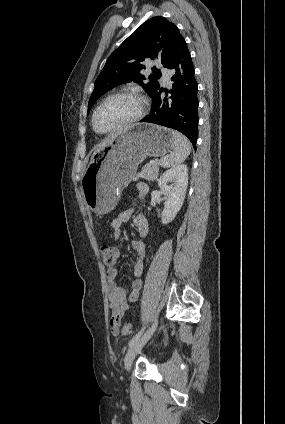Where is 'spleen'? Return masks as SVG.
Returning <instances> with one entry per match:
<instances>
[{"mask_svg":"<svg viewBox=\"0 0 285 424\" xmlns=\"http://www.w3.org/2000/svg\"><path fill=\"white\" fill-rule=\"evenodd\" d=\"M174 146L172 152L160 159L159 164L162 167H174L182 162L190 155L191 153V143L190 141L181 133L173 131Z\"/></svg>","mask_w":285,"mask_h":424,"instance_id":"3e777b00","label":"spleen"}]
</instances>
